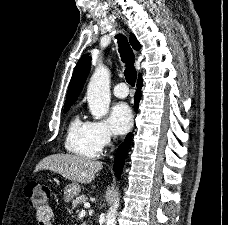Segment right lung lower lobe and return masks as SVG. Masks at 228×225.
Wrapping results in <instances>:
<instances>
[{
  "label": "right lung lower lobe",
  "mask_w": 228,
  "mask_h": 225,
  "mask_svg": "<svg viewBox=\"0 0 228 225\" xmlns=\"http://www.w3.org/2000/svg\"><path fill=\"white\" fill-rule=\"evenodd\" d=\"M141 87H142V77H141V75H139L138 82H137L138 90L135 94V105H134L135 110H137L138 103H139V100L141 97V92H140ZM130 138H131V134H128L126 139L124 140V142L117 149V152L115 155L114 171H115L118 179H120V176H121V173L123 170L125 155L127 152V148L129 145Z\"/></svg>",
  "instance_id": "98d812e1"
}]
</instances>
